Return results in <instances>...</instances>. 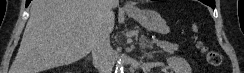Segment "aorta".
Listing matches in <instances>:
<instances>
[{
    "label": "aorta",
    "mask_w": 244,
    "mask_h": 73,
    "mask_svg": "<svg viewBox=\"0 0 244 73\" xmlns=\"http://www.w3.org/2000/svg\"><path fill=\"white\" fill-rule=\"evenodd\" d=\"M123 60H119L118 64L116 65L115 73H123Z\"/></svg>",
    "instance_id": "obj_1"
}]
</instances>
